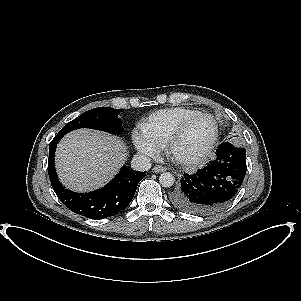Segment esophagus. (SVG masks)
Wrapping results in <instances>:
<instances>
[{
  "label": "esophagus",
  "instance_id": "esophagus-1",
  "mask_svg": "<svg viewBox=\"0 0 301 301\" xmlns=\"http://www.w3.org/2000/svg\"><path fill=\"white\" fill-rule=\"evenodd\" d=\"M152 170H153V172H155V173H160V172L165 171L166 168L163 167L162 165H155V166L153 167Z\"/></svg>",
  "mask_w": 301,
  "mask_h": 301
}]
</instances>
